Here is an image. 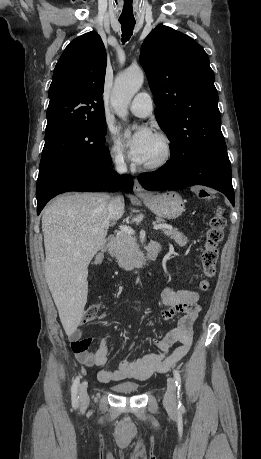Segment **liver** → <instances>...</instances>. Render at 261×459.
<instances>
[{
  "instance_id": "liver-1",
  "label": "liver",
  "mask_w": 261,
  "mask_h": 459,
  "mask_svg": "<svg viewBox=\"0 0 261 459\" xmlns=\"http://www.w3.org/2000/svg\"><path fill=\"white\" fill-rule=\"evenodd\" d=\"M110 199L104 193L65 194L43 212L45 278L68 336L84 313L88 266L115 221L109 213Z\"/></svg>"
}]
</instances>
